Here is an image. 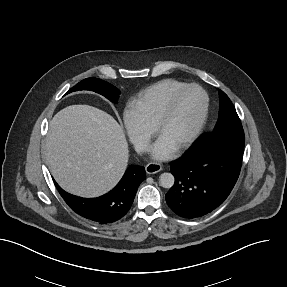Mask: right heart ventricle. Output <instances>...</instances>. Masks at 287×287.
<instances>
[{
    "instance_id": "obj_1",
    "label": "right heart ventricle",
    "mask_w": 287,
    "mask_h": 287,
    "mask_svg": "<svg viewBox=\"0 0 287 287\" xmlns=\"http://www.w3.org/2000/svg\"><path fill=\"white\" fill-rule=\"evenodd\" d=\"M186 84L175 79H165L141 91L128 107L146 128L152 130L169 97Z\"/></svg>"
}]
</instances>
